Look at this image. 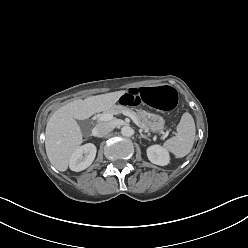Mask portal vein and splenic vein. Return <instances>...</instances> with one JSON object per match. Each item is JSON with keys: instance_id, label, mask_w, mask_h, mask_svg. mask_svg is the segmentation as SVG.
<instances>
[{"instance_id": "18ae733b", "label": "portal vein and splenic vein", "mask_w": 248, "mask_h": 248, "mask_svg": "<svg viewBox=\"0 0 248 248\" xmlns=\"http://www.w3.org/2000/svg\"><path fill=\"white\" fill-rule=\"evenodd\" d=\"M123 114L126 116H129L137 126H140L137 119L133 115H131L129 113H123ZM112 119H113V114H111V113H103L99 117V121H110Z\"/></svg>"}]
</instances>
